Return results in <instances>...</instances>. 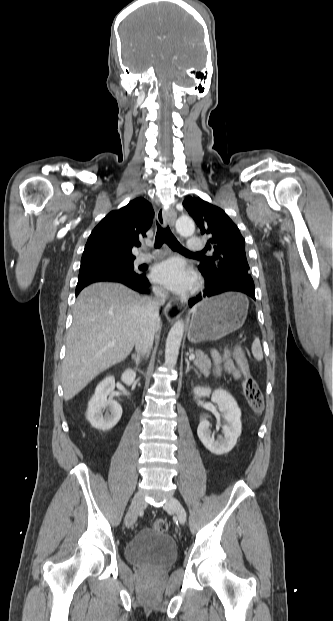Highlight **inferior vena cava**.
Masks as SVG:
<instances>
[{"mask_svg": "<svg viewBox=\"0 0 333 621\" xmlns=\"http://www.w3.org/2000/svg\"><path fill=\"white\" fill-rule=\"evenodd\" d=\"M154 297L144 299L146 316L136 335L135 348L138 354L147 355L154 341V334L160 324L159 307L164 305L168 294L161 288L153 290Z\"/></svg>", "mask_w": 333, "mask_h": 621, "instance_id": "inferior-vena-cava-1", "label": "inferior vena cava"}]
</instances>
